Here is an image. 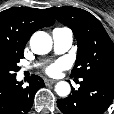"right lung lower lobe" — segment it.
I'll list each match as a JSON object with an SVG mask.
<instances>
[{
    "label": "right lung lower lobe",
    "mask_w": 114,
    "mask_h": 114,
    "mask_svg": "<svg viewBox=\"0 0 114 114\" xmlns=\"http://www.w3.org/2000/svg\"><path fill=\"white\" fill-rule=\"evenodd\" d=\"M27 87L23 82L16 81V77L0 83V114H27L32 107L34 95L44 86L39 76L29 79Z\"/></svg>",
    "instance_id": "98d812e1"
}]
</instances>
